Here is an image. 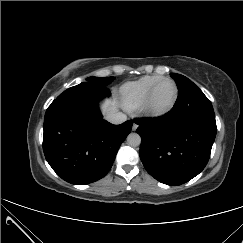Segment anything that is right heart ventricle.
<instances>
[{"label":"right heart ventricle","instance_id":"e07e8e85","mask_svg":"<svg viewBox=\"0 0 243 243\" xmlns=\"http://www.w3.org/2000/svg\"><path fill=\"white\" fill-rule=\"evenodd\" d=\"M163 78L161 75H146L122 85L120 96L124 107L129 111L142 107L151 88Z\"/></svg>","mask_w":243,"mask_h":243}]
</instances>
